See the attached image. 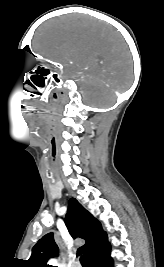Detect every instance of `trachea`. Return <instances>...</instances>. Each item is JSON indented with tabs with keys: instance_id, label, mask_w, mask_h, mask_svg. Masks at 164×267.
Here are the masks:
<instances>
[{
	"instance_id": "obj_1",
	"label": "trachea",
	"mask_w": 164,
	"mask_h": 267,
	"mask_svg": "<svg viewBox=\"0 0 164 267\" xmlns=\"http://www.w3.org/2000/svg\"><path fill=\"white\" fill-rule=\"evenodd\" d=\"M80 262H81L82 267H88V262H87L85 255H82L80 257Z\"/></svg>"
}]
</instances>
